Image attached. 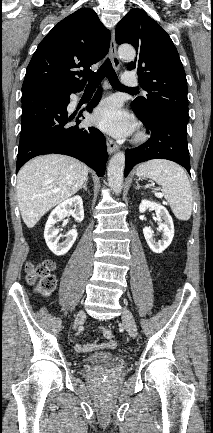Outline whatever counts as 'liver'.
<instances>
[{
	"instance_id": "liver-1",
	"label": "liver",
	"mask_w": 213,
	"mask_h": 433,
	"mask_svg": "<svg viewBox=\"0 0 213 433\" xmlns=\"http://www.w3.org/2000/svg\"><path fill=\"white\" fill-rule=\"evenodd\" d=\"M89 168L81 161L60 154L36 157L17 176V199L22 219L33 228L41 217L67 200L88 180Z\"/></svg>"
}]
</instances>
